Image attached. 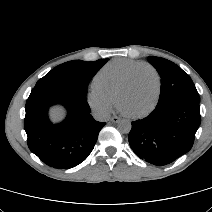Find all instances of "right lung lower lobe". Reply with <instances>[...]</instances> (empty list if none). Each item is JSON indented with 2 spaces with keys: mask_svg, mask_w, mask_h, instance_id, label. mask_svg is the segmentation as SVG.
I'll return each mask as SVG.
<instances>
[{
  "mask_svg": "<svg viewBox=\"0 0 212 212\" xmlns=\"http://www.w3.org/2000/svg\"><path fill=\"white\" fill-rule=\"evenodd\" d=\"M55 104L63 105L68 112L59 124H52L48 118V109ZM25 111L29 149L57 169L73 168L83 162L106 124L92 117L86 97L64 89H32Z\"/></svg>",
  "mask_w": 212,
  "mask_h": 212,
  "instance_id": "98d812e1",
  "label": "right lung lower lobe"
}]
</instances>
